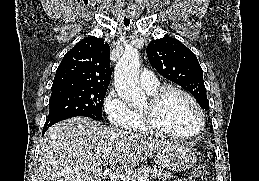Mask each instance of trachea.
<instances>
[{"label": "trachea", "instance_id": "obj_1", "mask_svg": "<svg viewBox=\"0 0 259 181\" xmlns=\"http://www.w3.org/2000/svg\"><path fill=\"white\" fill-rule=\"evenodd\" d=\"M124 24H125V26H128V25H129V23H126V22H124Z\"/></svg>", "mask_w": 259, "mask_h": 181}]
</instances>
